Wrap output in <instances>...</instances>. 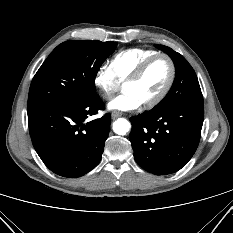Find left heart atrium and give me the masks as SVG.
<instances>
[{
  "label": "left heart atrium",
  "mask_w": 233,
  "mask_h": 233,
  "mask_svg": "<svg viewBox=\"0 0 233 233\" xmlns=\"http://www.w3.org/2000/svg\"><path fill=\"white\" fill-rule=\"evenodd\" d=\"M141 105L142 102L134 93L130 91H124L122 94L113 98L109 102L108 108L118 111H132L139 108Z\"/></svg>",
  "instance_id": "obj_1"
}]
</instances>
